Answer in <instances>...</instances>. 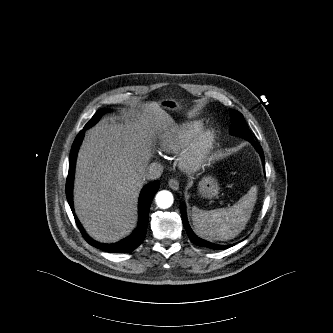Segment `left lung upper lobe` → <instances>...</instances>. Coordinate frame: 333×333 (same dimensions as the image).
<instances>
[{
  "mask_svg": "<svg viewBox=\"0 0 333 333\" xmlns=\"http://www.w3.org/2000/svg\"><path fill=\"white\" fill-rule=\"evenodd\" d=\"M230 116H231V125L229 132L232 135L242 137L247 141L252 140V136L250 130L245 122V119L241 113L236 110L230 109Z\"/></svg>",
  "mask_w": 333,
  "mask_h": 333,
  "instance_id": "1",
  "label": "left lung upper lobe"
}]
</instances>
